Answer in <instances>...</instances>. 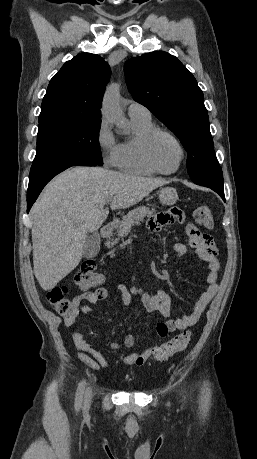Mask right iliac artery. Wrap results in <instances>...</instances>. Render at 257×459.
<instances>
[{"mask_svg": "<svg viewBox=\"0 0 257 459\" xmlns=\"http://www.w3.org/2000/svg\"><path fill=\"white\" fill-rule=\"evenodd\" d=\"M84 388H85V381H82L79 384L77 392H76V398H75V409L76 410H79L81 407Z\"/></svg>", "mask_w": 257, "mask_h": 459, "instance_id": "1", "label": "right iliac artery"}]
</instances>
